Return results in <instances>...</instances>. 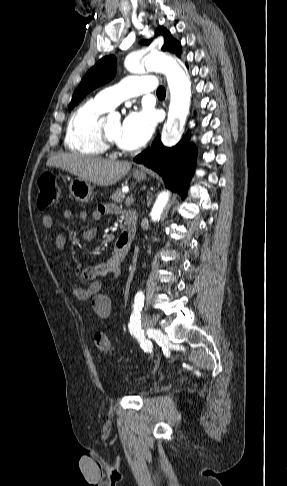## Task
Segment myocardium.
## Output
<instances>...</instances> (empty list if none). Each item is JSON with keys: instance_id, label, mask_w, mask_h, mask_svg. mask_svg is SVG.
Segmentation results:
<instances>
[{"instance_id": "obj_1", "label": "myocardium", "mask_w": 287, "mask_h": 486, "mask_svg": "<svg viewBox=\"0 0 287 486\" xmlns=\"http://www.w3.org/2000/svg\"><path fill=\"white\" fill-rule=\"evenodd\" d=\"M100 137L106 149L122 150L121 146L109 137L105 127L100 128Z\"/></svg>"}]
</instances>
